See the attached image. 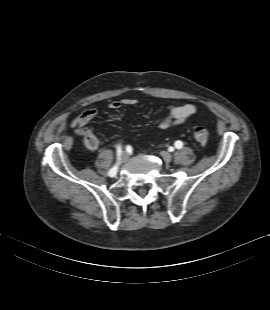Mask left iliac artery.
Segmentation results:
<instances>
[{"instance_id":"44dca946","label":"left iliac artery","mask_w":270,"mask_h":310,"mask_svg":"<svg viewBox=\"0 0 270 310\" xmlns=\"http://www.w3.org/2000/svg\"><path fill=\"white\" fill-rule=\"evenodd\" d=\"M175 147L178 148V149L182 148V147H183L182 141H179V140L176 141V142H175Z\"/></svg>"}]
</instances>
